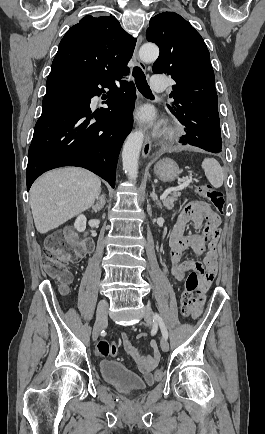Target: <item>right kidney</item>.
Returning <instances> with one entry per match:
<instances>
[{
    "label": "right kidney",
    "mask_w": 265,
    "mask_h": 434,
    "mask_svg": "<svg viewBox=\"0 0 265 434\" xmlns=\"http://www.w3.org/2000/svg\"><path fill=\"white\" fill-rule=\"evenodd\" d=\"M86 218L83 214H80L78 218L75 220L74 228H76L77 232H84L86 230Z\"/></svg>",
    "instance_id": "right-kidney-1"
}]
</instances>
